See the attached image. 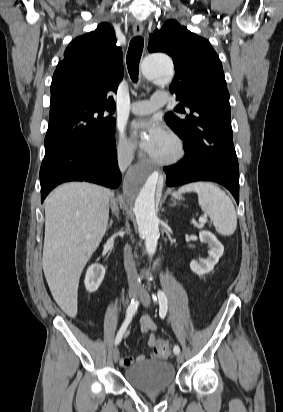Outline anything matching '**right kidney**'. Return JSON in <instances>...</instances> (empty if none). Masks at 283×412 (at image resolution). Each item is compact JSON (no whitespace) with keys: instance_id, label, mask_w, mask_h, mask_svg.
<instances>
[{"instance_id":"obj_1","label":"right kidney","mask_w":283,"mask_h":412,"mask_svg":"<svg viewBox=\"0 0 283 412\" xmlns=\"http://www.w3.org/2000/svg\"><path fill=\"white\" fill-rule=\"evenodd\" d=\"M105 275V268L98 263L92 264L88 267L85 275V287L90 293L95 292L102 283Z\"/></svg>"}]
</instances>
